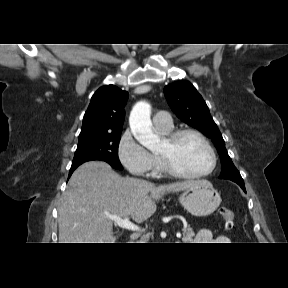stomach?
<instances>
[{
    "instance_id": "0dacf381",
    "label": "stomach",
    "mask_w": 288,
    "mask_h": 288,
    "mask_svg": "<svg viewBox=\"0 0 288 288\" xmlns=\"http://www.w3.org/2000/svg\"><path fill=\"white\" fill-rule=\"evenodd\" d=\"M179 201L190 214L203 217L218 208L221 197L209 182H201L185 190L179 196Z\"/></svg>"
}]
</instances>
